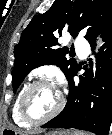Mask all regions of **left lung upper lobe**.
<instances>
[{
	"label": "left lung upper lobe",
	"mask_w": 112,
	"mask_h": 135,
	"mask_svg": "<svg viewBox=\"0 0 112 135\" xmlns=\"http://www.w3.org/2000/svg\"><path fill=\"white\" fill-rule=\"evenodd\" d=\"M111 21L112 0H55L47 12L32 18L14 48L13 91L32 69L42 65L60 67L68 80L77 64L65 57L69 53L67 47L58 48V37L68 31L75 38L85 30L90 43Z\"/></svg>",
	"instance_id": "obj_1"
}]
</instances>
